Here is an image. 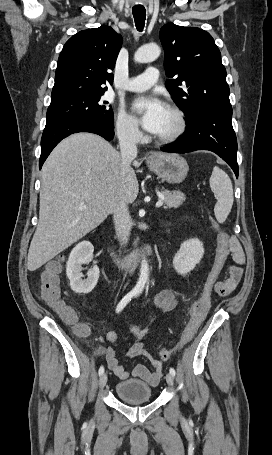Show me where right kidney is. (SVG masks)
Here are the masks:
<instances>
[{
  "label": "right kidney",
  "instance_id": "right-kidney-1",
  "mask_svg": "<svg viewBox=\"0 0 272 455\" xmlns=\"http://www.w3.org/2000/svg\"><path fill=\"white\" fill-rule=\"evenodd\" d=\"M94 247L89 241L77 244L69 255L66 265V274L70 280L71 289L78 294H87L96 286L99 278V268L94 265L82 279L81 265L93 259Z\"/></svg>",
  "mask_w": 272,
  "mask_h": 455
}]
</instances>
